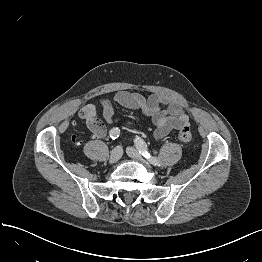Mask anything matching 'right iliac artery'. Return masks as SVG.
Wrapping results in <instances>:
<instances>
[{
  "label": "right iliac artery",
  "instance_id": "1",
  "mask_svg": "<svg viewBox=\"0 0 262 262\" xmlns=\"http://www.w3.org/2000/svg\"><path fill=\"white\" fill-rule=\"evenodd\" d=\"M120 134V130L118 128H112L109 132V135L112 139H116L117 137H119Z\"/></svg>",
  "mask_w": 262,
  "mask_h": 262
}]
</instances>
